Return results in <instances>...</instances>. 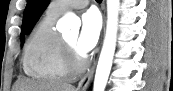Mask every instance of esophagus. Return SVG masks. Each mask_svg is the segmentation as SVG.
I'll return each mask as SVG.
<instances>
[{"mask_svg": "<svg viewBox=\"0 0 173 91\" xmlns=\"http://www.w3.org/2000/svg\"><path fill=\"white\" fill-rule=\"evenodd\" d=\"M102 9L105 10V0L102 2ZM104 18V27H105V14L103 15ZM95 66L91 68L89 72L86 73V75L81 79V81L78 84L79 91H86L91 83V80L93 78Z\"/></svg>", "mask_w": 173, "mask_h": 91, "instance_id": "1", "label": "esophagus"}]
</instances>
